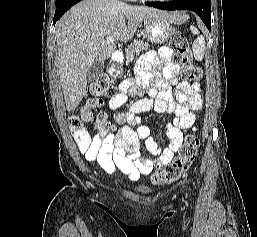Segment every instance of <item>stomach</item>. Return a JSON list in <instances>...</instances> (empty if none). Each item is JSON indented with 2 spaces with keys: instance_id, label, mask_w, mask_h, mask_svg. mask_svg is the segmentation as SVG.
<instances>
[{
  "instance_id": "0dacf381",
  "label": "stomach",
  "mask_w": 257,
  "mask_h": 237,
  "mask_svg": "<svg viewBox=\"0 0 257 237\" xmlns=\"http://www.w3.org/2000/svg\"><path fill=\"white\" fill-rule=\"evenodd\" d=\"M143 23L145 37L151 43L161 44L172 36L173 28L170 21L162 16L145 18Z\"/></svg>"
}]
</instances>
